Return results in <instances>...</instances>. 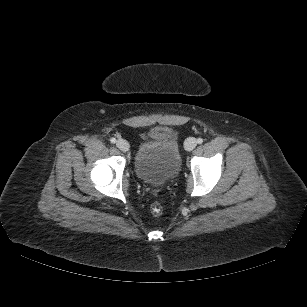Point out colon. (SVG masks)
<instances>
[{
	"label": "colon",
	"instance_id": "colon-1",
	"mask_svg": "<svg viewBox=\"0 0 307 307\" xmlns=\"http://www.w3.org/2000/svg\"><path fill=\"white\" fill-rule=\"evenodd\" d=\"M152 214L158 216L162 213V207L158 202L153 203L151 206Z\"/></svg>",
	"mask_w": 307,
	"mask_h": 307
}]
</instances>
